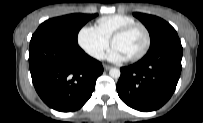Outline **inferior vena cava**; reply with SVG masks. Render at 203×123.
<instances>
[{"mask_svg":"<svg viewBox=\"0 0 203 123\" xmlns=\"http://www.w3.org/2000/svg\"><path fill=\"white\" fill-rule=\"evenodd\" d=\"M94 57L103 60L105 58V54L103 52H95Z\"/></svg>","mask_w":203,"mask_h":123,"instance_id":"602c4592","label":"inferior vena cava"}]
</instances>
